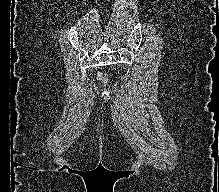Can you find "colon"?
I'll use <instances>...</instances> for the list:
<instances>
[{
  "label": "colon",
  "mask_w": 219,
  "mask_h": 192,
  "mask_svg": "<svg viewBox=\"0 0 219 192\" xmlns=\"http://www.w3.org/2000/svg\"><path fill=\"white\" fill-rule=\"evenodd\" d=\"M99 79L102 81H106L105 75L104 74H99Z\"/></svg>",
  "instance_id": "colon-1"
}]
</instances>
